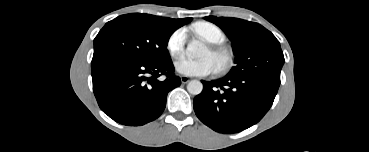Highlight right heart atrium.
<instances>
[{
    "label": "right heart atrium",
    "instance_id": "right-heart-atrium-1",
    "mask_svg": "<svg viewBox=\"0 0 369 152\" xmlns=\"http://www.w3.org/2000/svg\"><path fill=\"white\" fill-rule=\"evenodd\" d=\"M187 34L184 29L174 31L167 41V50L169 55L174 58H180L184 54Z\"/></svg>",
    "mask_w": 369,
    "mask_h": 152
}]
</instances>
